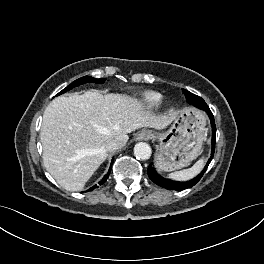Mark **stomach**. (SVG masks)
Returning <instances> with one entry per match:
<instances>
[{"label": "stomach", "mask_w": 264, "mask_h": 264, "mask_svg": "<svg viewBox=\"0 0 264 264\" xmlns=\"http://www.w3.org/2000/svg\"><path fill=\"white\" fill-rule=\"evenodd\" d=\"M206 119L198 110L186 108L175 118L171 127L156 134L160 148L156 166L163 171L185 167L202 149Z\"/></svg>", "instance_id": "1"}]
</instances>
